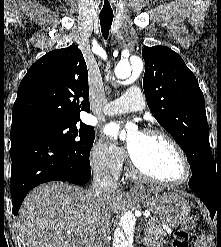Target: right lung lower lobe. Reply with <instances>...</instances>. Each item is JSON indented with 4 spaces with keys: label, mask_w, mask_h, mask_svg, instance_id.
<instances>
[{
    "label": "right lung lower lobe",
    "mask_w": 221,
    "mask_h": 247,
    "mask_svg": "<svg viewBox=\"0 0 221 247\" xmlns=\"http://www.w3.org/2000/svg\"><path fill=\"white\" fill-rule=\"evenodd\" d=\"M10 192L16 215L27 193L49 181L86 184L91 177L89 158L78 156L56 142L20 130L11 131Z\"/></svg>",
    "instance_id": "1"
}]
</instances>
